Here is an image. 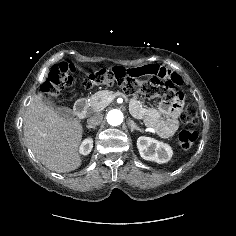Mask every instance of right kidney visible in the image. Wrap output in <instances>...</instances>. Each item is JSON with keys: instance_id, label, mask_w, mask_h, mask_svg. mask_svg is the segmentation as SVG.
I'll return each mask as SVG.
<instances>
[{"instance_id": "1", "label": "right kidney", "mask_w": 236, "mask_h": 236, "mask_svg": "<svg viewBox=\"0 0 236 236\" xmlns=\"http://www.w3.org/2000/svg\"><path fill=\"white\" fill-rule=\"evenodd\" d=\"M93 148V140L91 138L85 139L80 146V153L83 155H88Z\"/></svg>"}]
</instances>
